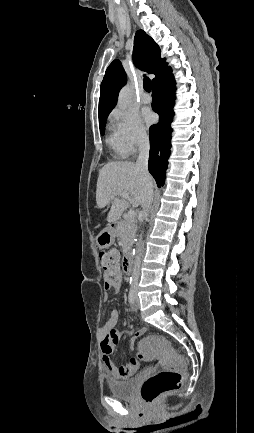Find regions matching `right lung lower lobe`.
<instances>
[{"label": "right lung lower lobe", "instance_id": "1", "mask_svg": "<svg viewBox=\"0 0 254 433\" xmlns=\"http://www.w3.org/2000/svg\"><path fill=\"white\" fill-rule=\"evenodd\" d=\"M171 72L170 69L152 88V109L160 117L159 122L149 129L150 156L148 168L158 187L164 184L171 148L172 129L170 123L174 115L172 108L175 100V81Z\"/></svg>", "mask_w": 254, "mask_h": 433}]
</instances>
